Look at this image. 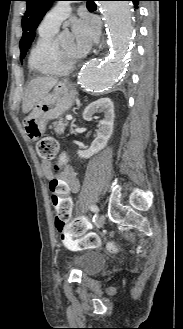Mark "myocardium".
<instances>
[{"mask_svg": "<svg viewBox=\"0 0 183 329\" xmlns=\"http://www.w3.org/2000/svg\"><path fill=\"white\" fill-rule=\"evenodd\" d=\"M84 60H85V55L81 54L78 58L69 61L66 59L64 53L60 50L59 47L56 49L57 67L63 74H67L73 71L78 66H80L84 62Z\"/></svg>", "mask_w": 183, "mask_h": 329, "instance_id": "myocardium-1", "label": "myocardium"}]
</instances>
